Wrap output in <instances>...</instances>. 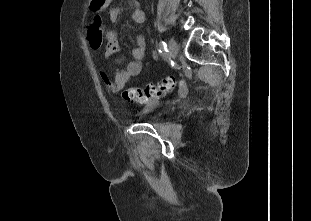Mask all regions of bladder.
Wrapping results in <instances>:
<instances>
[{
	"mask_svg": "<svg viewBox=\"0 0 311 221\" xmlns=\"http://www.w3.org/2000/svg\"><path fill=\"white\" fill-rule=\"evenodd\" d=\"M148 113H151V110H148ZM150 121H151L152 123H155V122H156L155 117H154V116L151 117Z\"/></svg>",
	"mask_w": 311,
	"mask_h": 221,
	"instance_id": "obj_1",
	"label": "bladder"
}]
</instances>
